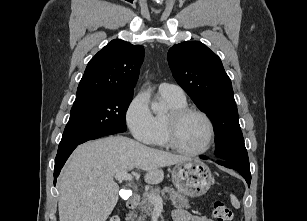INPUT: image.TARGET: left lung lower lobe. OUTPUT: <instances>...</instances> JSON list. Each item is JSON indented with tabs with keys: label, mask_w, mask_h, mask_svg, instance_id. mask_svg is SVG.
<instances>
[{
	"label": "left lung lower lobe",
	"mask_w": 307,
	"mask_h": 221,
	"mask_svg": "<svg viewBox=\"0 0 307 221\" xmlns=\"http://www.w3.org/2000/svg\"><path fill=\"white\" fill-rule=\"evenodd\" d=\"M202 159H206L205 157H202ZM219 165L225 166L230 169H234L238 171L246 180L248 186H250L251 183V173H250V167L242 165L240 163L230 161V160H221L217 162Z\"/></svg>",
	"instance_id": "1"
}]
</instances>
